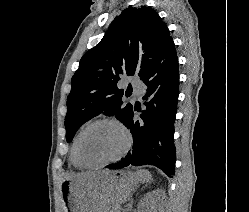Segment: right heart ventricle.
<instances>
[{"mask_svg":"<svg viewBox=\"0 0 249 212\" xmlns=\"http://www.w3.org/2000/svg\"><path fill=\"white\" fill-rule=\"evenodd\" d=\"M79 134V133H78ZM77 134V135H78ZM77 135L74 137L73 139V142L70 146V149H69V155H68V158H69V163L70 165L74 168V169H80L81 167L78 165V163L76 162L75 158H74V142H75V139L77 137Z\"/></svg>","mask_w":249,"mask_h":212,"instance_id":"e07e8e85","label":"right heart ventricle"}]
</instances>
